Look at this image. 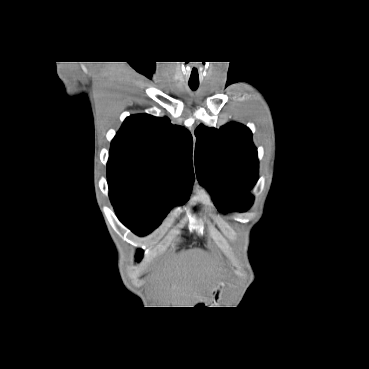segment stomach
<instances>
[{
  "label": "stomach",
  "mask_w": 369,
  "mask_h": 369,
  "mask_svg": "<svg viewBox=\"0 0 369 369\" xmlns=\"http://www.w3.org/2000/svg\"><path fill=\"white\" fill-rule=\"evenodd\" d=\"M221 290H222V284H220L219 286H217V288L215 289L214 294L215 295H218L221 292Z\"/></svg>",
  "instance_id": "stomach-1"
}]
</instances>
